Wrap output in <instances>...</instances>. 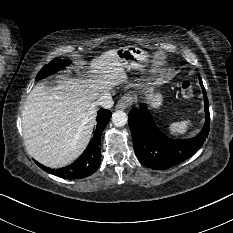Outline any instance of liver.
I'll return each instance as SVG.
<instances>
[{
	"label": "liver",
	"instance_id": "6515ba94",
	"mask_svg": "<svg viewBox=\"0 0 233 233\" xmlns=\"http://www.w3.org/2000/svg\"><path fill=\"white\" fill-rule=\"evenodd\" d=\"M87 66L93 79L59 76L57 84L34 86L22 112L27 152L51 168L76 160L87 147L96 124L95 100L126 79L125 64L109 50Z\"/></svg>",
	"mask_w": 233,
	"mask_h": 233
}]
</instances>
